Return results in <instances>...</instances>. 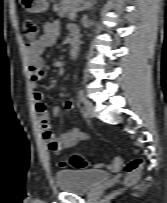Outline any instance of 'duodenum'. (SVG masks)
<instances>
[{
    "mask_svg": "<svg viewBox=\"0 0 167 203\" xmlns=\"http://www.w3.org/2000/svg\"><path fill=\"white\" fill-rule=\"evenodd\" d=\"M78 41L76 39V37H74L73 39V42L71 44V47H70V52H69V57L70 59H76L77 55H78Z\"/></svg>",
    "mask_w": 167,
    "mask_h": 203,
    "instance_id": "410a0bca",
    "label": "duodenum"
}]
</instances>
